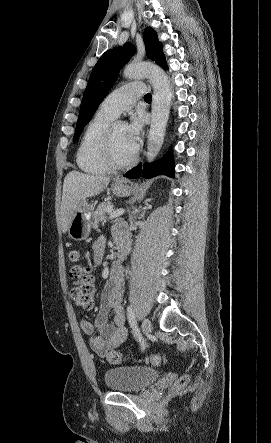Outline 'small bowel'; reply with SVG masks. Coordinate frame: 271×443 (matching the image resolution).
Returning <instances> with one entry per match:
<instances>
[{
  "instance_id": "small-bowel-1",
  "label": "small bowel",
  "mask_w": 271,
  "mask_h": 443,
  "mask_svg": "<svg viewBox=\"0 0 271 443\" xmlns=\"http://www.w3.org/2000/svg\"><path fill=\"white\" fill-rule=\"evenodd\" d=\"M94 261L100 263L104 255V240L94 244ZM123 282L122 270L114 265L110 278L104 287L100 307L94 321L83 319L80 322L82 331L89 336L91 349L100 356L107 355L119 347L127 338V327L122 306ZM113 313V323H109V313Z\"/></svg>"
}]
</instances>
